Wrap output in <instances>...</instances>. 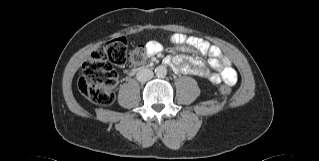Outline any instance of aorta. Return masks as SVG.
<instances>
[{"instance_id":"aorta-1","label":"aorta","mask_w":319,"mask_h":161,"mask_svg":"<svg viewBox=\"0 0 319 161\" xmlns=\"http://www.w3.org/2000/svg\"><path fill=\"white\" fill-rule=\"evenodd\" d=\"M155 74L158 77H165L167 74V69L163 65H159L155 68Z\"/></svg>"}]
</instances>
